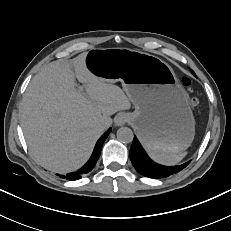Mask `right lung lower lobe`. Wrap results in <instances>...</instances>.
<instances>
[{
  "label": "right lung lower lobe",
  "instance_id": "right-lung-lower-lobe-1",
  "mask_svg": "<svg viewBox=\"0 0 231 231\" xmlns=\"http://www.w3.org/2000/svg\"><path fill=\"white\" fill-rule=\"evenodd\" d=\"M111 132V128H109L98 140L95 149L93 151V154L90 158V160L78 171L68 173L67 175H61V178L67 179V180H78L80 179L83 175L89 173L96 165L97 160L100 156L101 149L103 146L104 141L106 140L107 136Z\"/></svg>",
  "mask_w": 231,
  "mask_h": 231
}]
</instances>
